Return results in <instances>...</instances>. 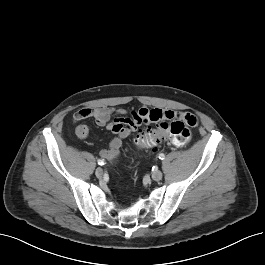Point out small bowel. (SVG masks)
<instances>
[{
    "instance_id": "c3829d8e",
    "label": "small bowel",
    "mask_w": 265,
    "mask_h": 265,
    "mask_svg": "<svg viewBox=\"0 0 265 265\" xmlns=\"http://www.w3.org/2000/svg\"><path fill=\"white\" fill-rule=\"evenodd\" d=\"M149 110L141 108L137 111H132L130 114L125 109L121 108H82L73 114V122L78 123L83 119L93 117L97 125L106 127L115 136L110 141L109 146L100 151V156L104 159H113L120 154V149L123 140L130 137L141 125L149 123ZM167 118H178L183 121H188L189 117L193 116L185 111H163ZM195 117V116H193ZM76 135L79 139H86L89 135V128L84 124H80L76 128Z\"/></svg>"
}]
</instances>
